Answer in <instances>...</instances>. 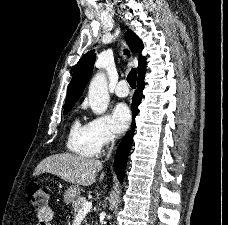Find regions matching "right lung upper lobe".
I'll use <instances>...</instances> for the list:
<instances>
[{"label": "right lung upper lobe", "mask_w": 228, "mask_h": 225, "mask_svg": "<svg viewBox=\"0 0 228 225\" xmlns=\"http://www.w3.org/2000/svg\"><path fill=\"white\" fill-rule=\"evenodd\" d=\"M125 39L132 50V52H141L143 49V43L140 38L131 30L125 35ZM139 66L137 71L146 65V59L143 56L139 58ZM95 62V54L94 51H89L78 61L75 66L74 73L72 76V80L69 84L67 98L65 101L64 107L74 105L75 102L81 96L88 79L90 78L93 70V65Z\"/></svg>", "instance_id": "right-lung-upper-lobe-1"}]
</instances>
